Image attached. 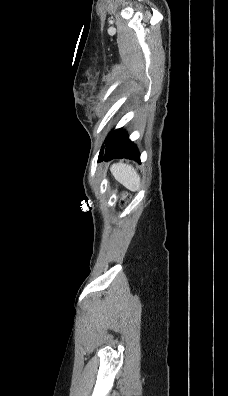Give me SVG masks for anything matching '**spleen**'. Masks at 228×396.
I'll list each match as a JSON object with an SVG mask.
<instances>
[{"label": "spleen", "mask_w": 228, "mask_h": 396, "mask_svg": "<svg viewBox=\"0 0 228 396\" xmlns=\"http://www.w3.org/2000/svg\"><path fill=\"white\" fill-rule=\"evenodd\" d=\"M114 178L130 191L140 188V177L135 169L123 163L113 164L110 168Z\"/></svg>", "instance_id": "1"}]
</instances>
